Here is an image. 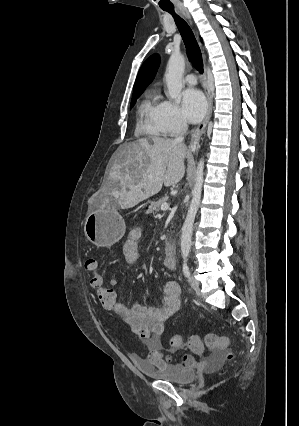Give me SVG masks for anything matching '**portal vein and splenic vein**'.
<instances>
[{"label":"portal vein and splenic vein","mask_w":299,"mask_h":426,"mask_svg":"<svg viewBox=\"0 0 299 426\" xmlns=\"http://www.w3.org/2000/svg\"><path fill=\"white\" fill-rule=\"evenodd\" d=\"M169 209V204L168 203H163V204H161V210L162 211H166V210H168Z\"/></svg>","instance_id":"portal-vein-and-splenic-vein-1"}]
</instances>
